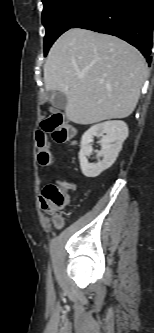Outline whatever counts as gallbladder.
<instances>
[{
    "mask_svg": "<svg viewBox=\"0 0 154 333\" xmlns=\"http://www.w3.org/2000/svg\"><path fill=\"white\" fill-rule=\"evenodd\" d=\"M51 104L57 109H64L67 104V98L62 92H49Z\"/></svg>",
    "mask_w": 154,
    "mask_h": 333,
    "instance_id": "gallbladder-1",
    "label": "gallbladder"
}]
</instances>
